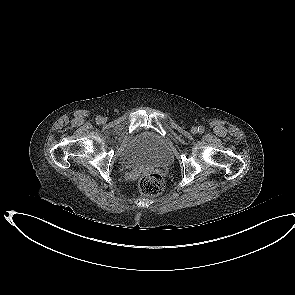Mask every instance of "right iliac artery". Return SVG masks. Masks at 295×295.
Wrapping results in <instances>:
<instances>
[{
    "label": "right iliac artery",
    "mask_w": 295,
    "mask_h": 295,
    "mask_svg": "<svg viewBox=\"0 0 295 295\" xmlns=\"http://www.w3.org/2000/svg\"><path fill=\"white\" fill-rule=\"evenodd\" d=\"M101 120H102V119H101V117H100V116H98V117L96 118V122H97V123H100V122H101Z\"/></svg>",
    "instance_id": "right-iliac-artery-1"
}]
</instances>
